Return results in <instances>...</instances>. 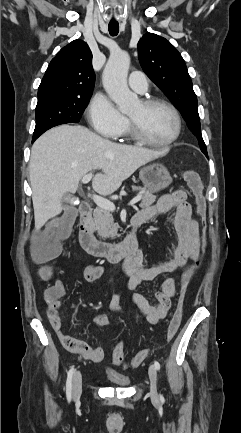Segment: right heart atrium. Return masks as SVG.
Returning <instances> with one entry per match:
<instances>
[{
	"label": "right heart atrium",
	"mask_w": 241,
	"mask_h": 433,
	"mask_svg": "<svg viewBox=\"0 0 241 433\" xmlns=\"http://www.w3.org/2000/svg\"><path fill=\"white\" fill-rule=\"evenodd\" d=\"M88 117L95 131L113 139L118 138L128 126L127 118L104 96L92 99Z\"/></svg>",
	"instance_id": "d8ad5b80"
}]
</instances>
